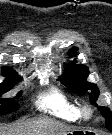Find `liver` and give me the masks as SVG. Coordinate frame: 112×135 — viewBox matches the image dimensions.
Instances as JSON below:
<instances>
[{
  "label": "liver",
  "instance_id": "obj_1",
  "mask_svg": "<svg viewBox=\"0 0 112 135\" xmlns=\"http://www.w3.org/2000/svg\"><path fill=\"white\" fill-rule=\"evenodd\" d=\"M71 129L57 122L45 119L21 123L12 135H66Z\"/></svg>",
  "mask_w": 112,
  "mask_h": 135
}]
</instances>
